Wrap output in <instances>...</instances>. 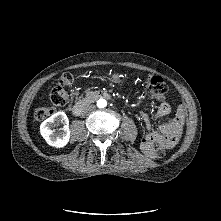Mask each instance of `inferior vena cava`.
Masks as SVG:
<instances>
[{"mask_svg":"<svg viewBox=\"0 0 221 221\" xmlns=\"http://www.w3.org/2000/svg\"><path fill=\"white\" fill-rule=\"evenodd\" d=\"M94 110H95V106H94V105H90V106H88V107L85 109L84 113H85V114H89V113L93 112Z\"/></svg>","mask_w":221,"mask_h":221,"instance_id":"602c4592","label":"inferior vena cava"}]
</instances>
